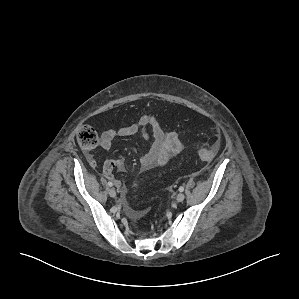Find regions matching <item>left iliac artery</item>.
I'll return each mask as SVG.
<instances>
[{
	"label": "left iliac artery",
	"mask_w": 299,
	"mask_h": 299,
	"mask_svg": "<svg viewBox=\"0 0 299 299\" xmlns=\"http://www.w3.org/2000/svg\"><path fill=\"white\" fill-rule=\"evenodd\" d=\"M179 191H180V192H183V191H184V187H183V186H180V187H179Z\"/></svg>",
	"instance_id": "44dca946"
}]
</instances>
